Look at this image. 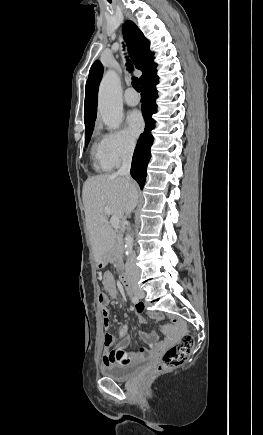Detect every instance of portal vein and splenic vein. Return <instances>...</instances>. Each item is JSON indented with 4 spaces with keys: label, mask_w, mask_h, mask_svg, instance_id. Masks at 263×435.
I'll return each instance as SVG.
<instances>
[{
    "label": "portal vein and splenic vein",
    "mask_w": 263,
    "mask_h": 435,
    "mask_svg": "<svg viewBox=\"0 0 263 435\" xmlns=\"http://www.w3.org/2000/svg\"><path fill=\"white\" fill-rule=\"evenodd\" d=\"M104 210H105L106 215L109 216L111 214L108 207H105ZM119 222H120V219L118 216H114V215L111 216L110 223H111L113 228L117 229L119 227Z\"/></svg>",
    "instance_id": "portal-vein-and-splenic-vein-1"
}]
</instances>
